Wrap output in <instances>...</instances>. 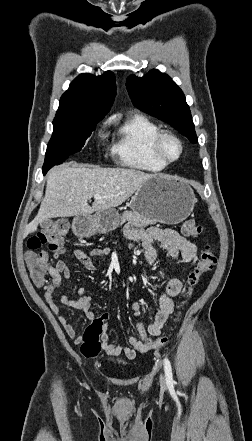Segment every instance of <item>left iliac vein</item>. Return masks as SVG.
<instances>
[{
    "label": "left iliac vein",
    "mask_w": 252,
    "mask_h": 441,
    "mask_svg": "<svg viewBox=\"0 0 252 441\" xmlns=\"http://www.w3.org/2000/svg\"><path fill=\"white\" fill-rule=\"evenodd\" d=\"M160 381H161V384H162V385L165 384V380H164V376H163V375L160 376Z\"/></svg>",
    "instance_id": "left-iliac-vein-1"
}]
</instances>
